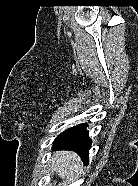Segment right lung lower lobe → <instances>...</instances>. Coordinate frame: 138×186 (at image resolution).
Listing matches in <instances>:
<instances>
[{
  "mask_svg": "<svg viewBox=\"0 0 138 186\" xmlns=\"http://www.w3.org/2000/svg\"><path fill=\"white\" fill-rule=\"evenodd\" d=\"M86 127L87 124L83 123L65 130L56 139L53 149L75 151L87 165L91 140Z\"/></svg>",
  "mask_w": 138,
  "mask_h": 186,
  "instance_id": "1",
  "label": "right lung lower lobe"
}]
</instances>
